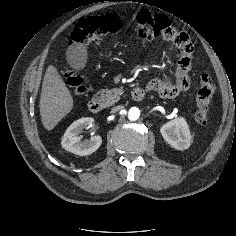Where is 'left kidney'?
<instances>
[{
  "mask_svg": "<svg viewBox=\"0 0 236 236\" xmlns=\"http://www.w3.org/2000/svg\"><path fill=\"white\" fill-rule=\"evenodd\" d=\"M164 140L177 150H185L191 144V134L184 118L167 122L160 129Z\"/></svg>",
  "mask_w": 236,
  "mask_h": 236,
  "instance_id": "5707ae66",
  "label": "left kidney"
}]
</instances>
